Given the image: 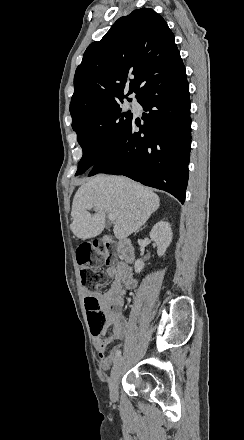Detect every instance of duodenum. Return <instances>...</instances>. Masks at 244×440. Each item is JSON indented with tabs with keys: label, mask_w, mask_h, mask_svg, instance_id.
Returning a JSON list of instances; mask_svg holds the SVG:
<instances>
[{
	"label": "duodenum",
	"mask_w": 244,
	"mask_h": 440,
	"mask_svg": "<svg viewBox=\"0 0 244 440\" xmlns=\"http://www.w3.org/2000/svg\"><path fill=\"white\" fill-rule=\"evenodd\" d=\"M120 257L125 263H132L135 259V253L132 243L129 239L122 238L116 241Z\"/></svg>",
	"instance_id": "410a0bca"
}]
</instances>
